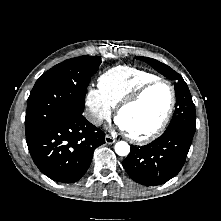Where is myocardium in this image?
Wrapping results in <instances>:
<instances>
[{"label": "myocardium", "mask_w": 221, "mask_h": 221, "mask_svg": "<svg viewBox=\"0 0 221 221\" xmlns=\"http://www.w3.org/2000/svg\"><path fill=\"white\" fill-rule=\"evenodd\" d=\"M158 83H164L169 87L170 95H171L169 107H168L167 112L164 115L161 123L152 132H150L148 134L136 136V135H133L132 133L126 131L127 137L134 143H146V142L152 141V140L156 139L165 130V128L167 127V125L173 115L175 105H176L175 88L169 80L157 77L155 79H152V80L144 83L140 87H138L135 91L130 93L128 96H126L117 105L115 117H116V120L119 122V117H120L121 112L124 109H126L127 107L132 106L135 103H137L143 97V95L146 93V91L149 88H151L152 86H154Z\"/></svg>", "instance_id": "myocardium-1"}]
</instances>
